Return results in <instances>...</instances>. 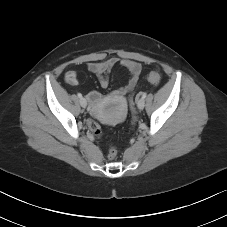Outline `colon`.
<instances>
[{
    "label": "colon",
    "instance_id": "5ec220e1",
    "mask_svg": "<svg viewBox=\"0 0 227 227\" xmlns=\"http://www.w3.org/2000/svg\"><path fill=\"white\" fill-rule=\"evenodd\" d=\"M148 81L153 85H158L160 83V74L156 71H152L147 76ZM135 118V117H134ZM88 127L90 131L97 137L102 133L101 125L94 119H90L88 122ZM117 156V150L114 146H111L108 151V159L114 160Z\"/></svg>",
    "mask_w": 227,
    "mask_h": 227
}]
</instances>
